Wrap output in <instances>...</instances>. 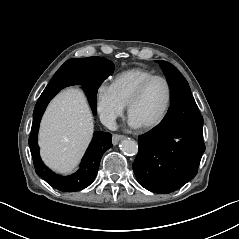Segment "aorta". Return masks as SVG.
<instances>
[{"label": "aorta", "instance_id": "1", "mask_svg": "<svg viewBox=\"0 0 239 239\" xmlns=\"http://www.w3.org/2000/svg\"><path fill=\"white\" fill-rule=\"evenodd\" d=\"M119 147L127 155H135L138 152L137 142L131 139L122 140Z\"/></svg>", "mask_w": 239, "mask_h": 239}]
</instances>
